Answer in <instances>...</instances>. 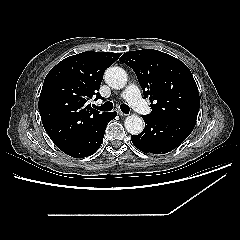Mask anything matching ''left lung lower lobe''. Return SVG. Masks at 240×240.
<instances>
[{"label": "left lung lower lobe", "mask_w": 240, "mask_h": 240, "mask_svg": "<svg viewBox=\"0 0 240 240\" xmlns=\"http://www.w3.org/2000/svg\"><path fill=\"white\" fill-rule=\"evenodd\" d=\"M145 128L131 136L136 148L144 153L165 154L178 147L193 131L196 120L191 118L159 120L142 116Z\"/></svg>", "instance_id": "obj_1"}]
</instances>
